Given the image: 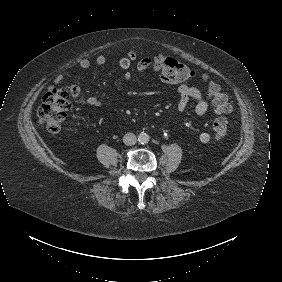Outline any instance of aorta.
<instances>
[{
	"mask_svg": "<svg viewBox=\"0 0 282 282\" xmlns=\"http://www.w3.org/2000/svg\"><path fill=\"white\" fill-rule=\"evenodd\" d=\"M138 143L141 145H146L148 144L149 140H150V136L149 134L145 133V132H141L138 137H137Z\"/></svg>",
	"mask_w": 282,
	"mask_h": 282,
	"instance_id": "762f6f07",
	"label": "aorta"
}]
</instances>
